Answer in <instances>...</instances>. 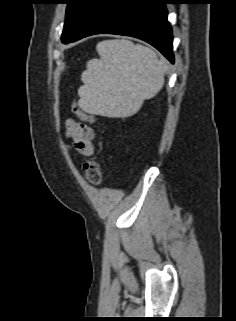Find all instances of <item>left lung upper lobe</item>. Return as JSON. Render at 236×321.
Wrapping results in <instances>:
<instances>
[{"mask_svg": "<svg viewBox=\"0 0 236 321\" xmlns=\"http://www.w3.org/2000/svg\"><path fill=\"white\" fill-rule=\"evenodd\" d=\"M98 0H66L67 10L61 40H71L81 28L86 17Z\"/></svg>", "mask_w": 236, "mask_h": 321, "instance_id": "5c2ea615", "label": "left lung upper lobe"}]
</instances>
